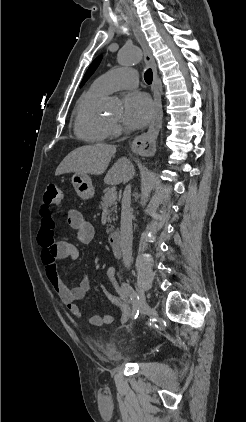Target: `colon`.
<instances>
[{"label":"colon","mask_w":246,"mask_h":422,"mask_svg":"<svg viewBox=\"0 0 246 422\" xmlns=\"http://www.w3.org/2000/svg\"><path fill=\"white\" fill-rule=\"evenodd\" d=\"M64 193L56 184H49L44 192V204L51 213L61 215L63 211Z\"/></svg>","instance_id":"1"}]
</instances>
